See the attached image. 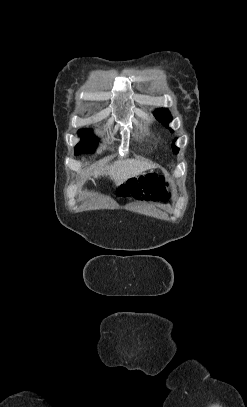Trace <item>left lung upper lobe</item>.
Wrapping results in <instances>:
<instances>
[{"instance_id":"obj_1","label":"left lung upper lobe","mask_w":247,"mask_h":407,"mask_svg":"<svg viewBox=\"0 0 247 407\" xmlns=\"http://www.w3.org/2000/svg\"><path fill=\"white\" fill-rule=\"evenodd\" d=\"M155 117L157 120H159L163 125H165L167 128L169 122L172 120V116L170 115V112L167 109H158L155 111ZM171 132H173L172 129H170ZM173 152L177 154L179 152V148L176 147L174 144L172 145Z\"/></svg>"}]
</instances>
